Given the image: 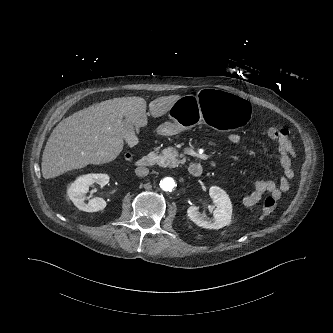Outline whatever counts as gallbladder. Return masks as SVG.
<instances>
[{"label":"gallbladder","mask_w":333,"mask_h":333,"mask_svg":"<svg viewBox=\"0 0 333 333\" xmlns=\"http://www.w3.org/2000/svg\"><path fill=\"white\" fill-rule=\"evenodd\" d=\"M121 132L129 146L132 147L138 143V139L134 132L133 124L129 120L125 119L122 122Z\"/></svg>","instance_id":"gallbladder-1"}]
</instances>
